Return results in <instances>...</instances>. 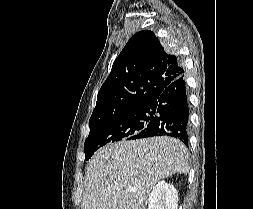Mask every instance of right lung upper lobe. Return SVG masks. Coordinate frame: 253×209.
I'll return each mask as SVG.
<instances>
[{
    "label": "right lung upper lobe",
    "instance_id": "cb5924a9",
    "mask_svg": "<svg viewBox=\"0 0 253 209\" xmlns=\"http://www.w3.org/2000/svg\"><path fill=\"white\" fill-rule=\"evenodd\" d=\"M183 73L178 58L165 52L152 31L136 33L114 61L90 120L150 104Z\"/></svg>",
    "mask_w": 253,
    "mask_h": 209
}]
</instances>
